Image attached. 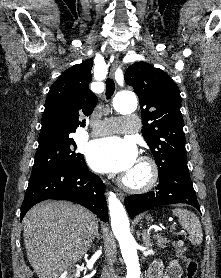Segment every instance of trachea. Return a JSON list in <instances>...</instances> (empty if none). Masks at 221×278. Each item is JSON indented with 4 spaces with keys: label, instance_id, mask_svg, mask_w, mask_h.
<instances>
[{
    "label": "trachea",
    "instance_id": "3493384b",
    "mask_svg": "<svg viewBox=\"0 0 221 278\" xmlns=\"http://www.w3.org/2000/svg\"><path fill=\"white\" fill-rule=\"evenodd\" d=\"M115 91V83L111 78H108L106 80V97L107 99H110Z\"/></svg>",
    "mask_w": 221,
    "mask_h": 278
}]
</instances>
